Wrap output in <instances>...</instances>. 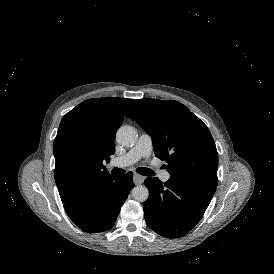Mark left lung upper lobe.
<instances>
[{
  "instance_id": "1",
  "label": "left lung upper lobe",
  "mask_w": 274,
  "mask_h": 274,
  "mask_svg": "<svg viewBox=\"0 0 274 274\" xmlns=\"http://www.w3.org/2000/svg\"><path fill=\"white\" fill-rule=\"evenodd\" d=\"M151 137L170 178L216 189L218 153L207 126L183 104L135 100L126 114ZM166 167V166H165Z\"/></svg>"
}]
</instances>
